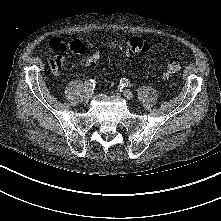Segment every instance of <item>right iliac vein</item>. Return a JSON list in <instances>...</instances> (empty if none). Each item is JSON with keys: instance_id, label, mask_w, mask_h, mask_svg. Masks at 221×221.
<instances>
[{"instance_id": "1", "label": "right iliac vein", "mask_w": 221, "mask_h": 221, "mask_svg": "<svg viewBox=\"0 0 221 221\" xmlns=\"http://www.w3.org/2000/svg\"><path fill=\"white\" fill-rule=\"evenodd\" d=\"M91 97H92V92L89 91V90H86L85 93H84V99H85V101L90 100Z\"/></svg>"}]
</instances>
